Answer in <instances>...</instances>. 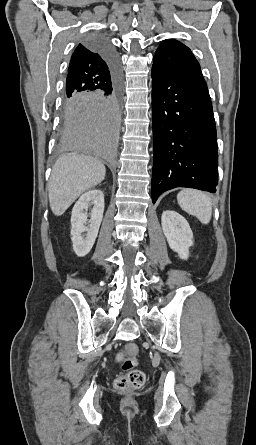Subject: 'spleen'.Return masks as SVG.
Masks as SVG:
<instances>
[{"label":"spleen","mask_w":256,"mask_h":445,"mask_svg":"<svg viewBox=\"0 0 256 445\" xmlns=\"http://www.w3.org/2000/svg\"><path fill=\"white\" fill-rule=\"evenodd\" d=\"M180 207L187 213L196 216L203 224H208L212 215L210 197L201 191L183 189L177 195Z\"/></svg>","instance_id":"3e777b00"}]
</instances>
